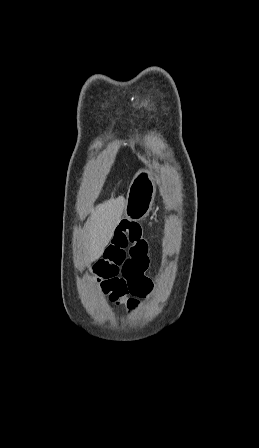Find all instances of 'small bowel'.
<instances>
[{
    "label": "small bowel",
    "instance_id": "obj_1",
    "mask_svg": "<svg viewBox=\"0 0 259 448\" xmlns=\"http://www.w3.org/2000/svg\"><path fill=\"white\" fill-rule=\"evenodd\" d=\"M148 266V243L142 226L122 219L113 229L102 258L94 265L93 275L111 301L138 310L140 299L152 291V282L145 275Z\"/></svg>",
    "mask_w": 259,
    "mask_h": 448
}]
</instances>
